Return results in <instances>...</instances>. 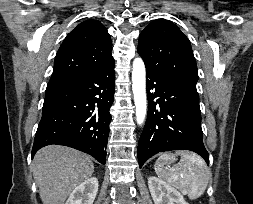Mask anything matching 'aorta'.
Here are the masks:
<instances>
[{
	"label": "aorta",
	"mask_w": 253,
	"mask_h": 204,
	"mask_svg": "<svg viewBox=\"0 0 253 204\" xmlns=\"http://www.w3.org/2000/svg\"><path fill=\"white\" fill-rule=\"evenodd\" d=\"M132 90L136 107L137 123L141 125L145 120L147 111L146 70L141 58H136L133 61Z\"/></svg>",
	"instance_id": "762f6f07"
}]
</instances>
